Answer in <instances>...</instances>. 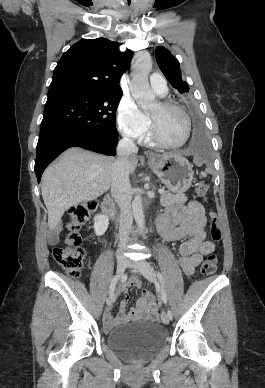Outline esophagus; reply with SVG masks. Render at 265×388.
<instances>
[{
    "instance_id": "esophagus-1",
    "label": "esophagus",
    "mask_w": 265,
    "mask_h": 388,
    "mask_svg": "<svg viewBox=\"0 0 265 388\" xmlns=\"http://www.w3.org/2000/svg\"><path fill=\"white\" fill-rule=\"evenodd\" d=\"M149 156L151 157V156H153V154H149Z\"/></svg>"
}]
</instances>
